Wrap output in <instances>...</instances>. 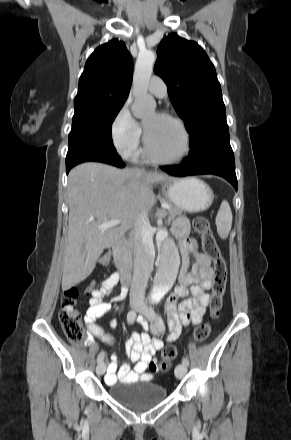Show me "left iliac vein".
I'll return each mask as SVG.
<instances>
[{
	"mask_svg": "<svg viewBox=\"0 0 291 440\" xmlns=\"http://www.w3.org/2000/svg\"><path fill=\"white\" fill-rule=\"evenodd\" d=\"M138 312L146 317L150 322H154L157 319V314L147 305H141L138 308ZM187 366L184 364H179L175 368V376L178 379L183 378L186 375Z\"/></svg>",
	"mask_w": 291,
	"mask_h": 440,
	"instance_id": "left-iliac-vein-1",
	"label": "left iliac vein"
}]
</instances>
